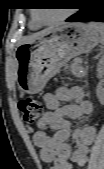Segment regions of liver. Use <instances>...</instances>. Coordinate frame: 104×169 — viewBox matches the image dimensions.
<instances>
[{"label":"liver","mask_w":104,"mask_h":169,"mask_svg":"<svg viewBox=\"0 0 104 169\" xmlns=\"http://www.w3.org/2000/svg\"><path fill=\"white\" fill-rule=\"evenodd\" d=\"M50 29H51V28L46 29V30L42 31L41 33H39V34L35 35L34 37H36V36H38V35H40V34H42V33L46 32V31H48V30H50Z\"/></svg>","instance_id":"1"}]
</instances>
